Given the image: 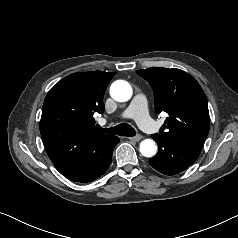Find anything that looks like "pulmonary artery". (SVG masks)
I'll list each match as a JSON object with an SVG mask.
<instances>
[{
    "instance_id": "1",
    "label": "pulmonary artery",
    "mask_w": 238,
    "mask_h": 238,
    "mask_svg": "<svg viewBox=\"0 0 238 238\" xmlns=\"http://www.w3.org/2000/svg\"><path fill=\"white\" fill-rule=\"evenodd\" d=\"M122 117L134 119L147 133L154 134L157 131V125L149 116L147 101L143 94H136L133 97L127 109L122 113ZM100 122L104 124L106 120L101 119Z\"/></svg>"
}]
</instances>
